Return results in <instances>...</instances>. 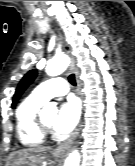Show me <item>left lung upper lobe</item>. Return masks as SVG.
Wrapping results in <instances>:
<instances>
[{
    "label": "left lung upper lobe",
    "instance_id": "left-lung-upper-lobe-1",
    "mask_svg": "<svg viewBox=\"0 0 135 166\" xmlns=\"http://www.w3.org/2000/svg\"><path fill=\"white\" fill-rule=\"evenodd\" d=\"M37 76V71L36 70H30L28 73L25 74V76L21 79L16 92L13 97V103L12 106H15L17 103L19 97L21 94L24 92V90L29 86L30 83L33 82L35 77Z\"/></svg>",
    "mask_w": 135,
    "mask_h": 166
}]
</instances>
